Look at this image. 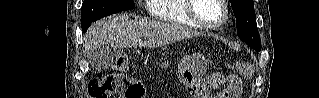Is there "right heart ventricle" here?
Listing matches in <instances>:
<instances>
[{
  "label": "right heart ventricle",
  "mask_w": 319,
  "mask_h": 98,
  "mask_svg": "<svg viewBox=\"0 0 319 98\" xmlns=\"http://www.w3.org/2000/svg\"><path fill=\"white\" fill-rule=\"evenodd\" d=\"M151 15L160 21L198 28L186 11V0H149Z\"/></svg>",
  "instance_id": "obj_1"
}]
</instances>
